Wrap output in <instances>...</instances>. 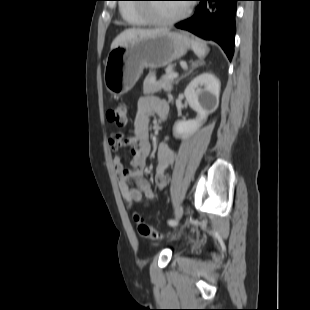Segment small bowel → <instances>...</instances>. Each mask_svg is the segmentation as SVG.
<instances>
[{"label":"small bowel","mask_w":310,"mask_h":310,"mask_svg":"<svg viewBox=\"0 0 310 310\" xmlns=\"http://www.w3.org/2000/svg\"><path fill=\"white\" fill-rule=\"evenodd\" d=\"M156 114L164 120L168 114V105L164 100L154 96H143L138 100L137 112L131 130L127 134L114 133L108 139L113 151V163L118 175L120 192L127 206L134 203L148 204L155 199V193L149 181L144 177V168L150 152L149 121ZM124 145H130V168H125L119 150ZM176 153L165 142L158 145L157 170L155 184L159 190L165 189L168 183L167 169L174 164Z\"/></svg>","instance_id":"small-bowel-1"}]
</instances>
